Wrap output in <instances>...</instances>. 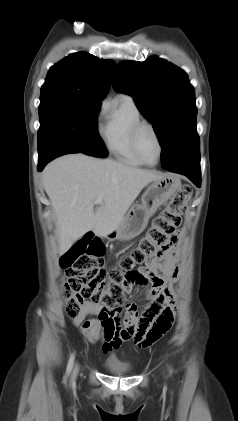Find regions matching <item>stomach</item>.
<instances>
[{"mask_svg":"<svg viewBox=\"0 0 238 421\" xmlns=\"http://www.w3.org/2000/svg\"><path fill=\"white\" fill-rule=\"evenodd\" d=\"M180 187V179L172 174H163L162 177L152 181L141 198V204L132 206L109 236L119 240H130L138 236L146 228L150 217Z\"/></svg>","mask_w":238,"mask_h":421,"instance_id":"0dacf381","label":"stomach"}]
</instances>
